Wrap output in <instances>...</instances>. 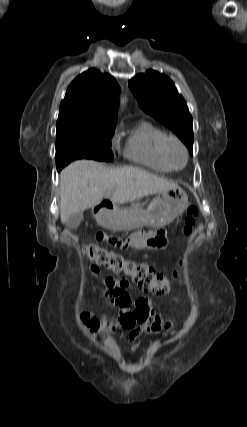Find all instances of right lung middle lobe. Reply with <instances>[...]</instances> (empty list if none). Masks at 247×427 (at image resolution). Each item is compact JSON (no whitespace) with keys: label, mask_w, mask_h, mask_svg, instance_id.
<instances>
[{"label":"right lung middle lobe","mask_w":247,"mask_h":427,"mask_svg":"<svg viewBox=\"0 0 247 427\" xmlns=\"http://www.w3.org/2000/svg\"><path fill=\"white\" fill-rule=\"evenodd\" d=\"M116 123H98L73 114L59 115L56 134V165L62 169L69 162L88 158L113 159L111 138Z\"/></svg>","instance_id":"obj_1"}]
</instances>
